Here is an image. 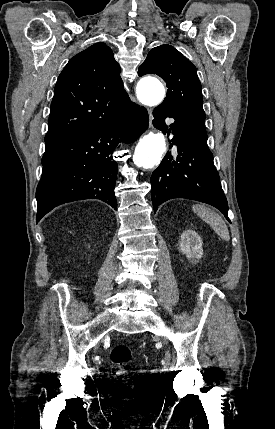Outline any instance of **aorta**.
Here are the masks:
<instances>
[{
	"label": "aorta",
	"instance_id": "762f6f07",
	"mask_svg": "<svg viewBox=\"0 0 275 429\" xmlns=\"http://www.w3.org/2000/svg\"><path fill=\"white\" fill-rule=\"evenodd\" d=\"M139 100L148 106H155L165 97L163 84L156 78H143L137 87ZM166 151V143L162 133L150 132L144 135L135 148L134 160L139 167L151 168L161 161Z\"/></svg>",
	"mask_w": 275,
	"mask_h": 429
}]
</instances>
